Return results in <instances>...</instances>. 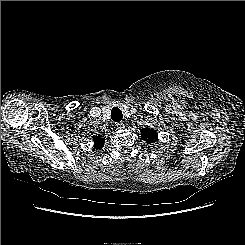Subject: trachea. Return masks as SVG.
Instances as JSON below:
<instances>
[{
    "label": "trachea",
    "instance_id": "trachea-1",
    "mask_svg": "<svg viewBox=\"0 0 245 245\" xmlns=\"http://www.w3.org/2000/svg\"><path fill=\"white\" fill-rule=\"evenodd\" d=\"M111 118L115 122H119L123 119L122 111L118 107H113L111 110Z\"/></svg>",
    "mask_w": 245,
    "mask_h": 245
}]
</instances>
